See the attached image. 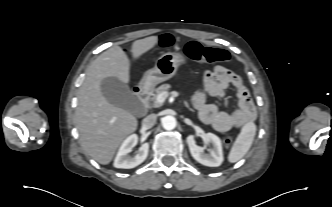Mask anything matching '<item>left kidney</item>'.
Segmentation results:
<instances>
[{
  "mask_svg": "<svg viewBox=\"0 0 332 207\" xmlns=\"http://www.w3.org/2000/svg\"><path fill=\"white\" fill-rule=\"evenodd\" d=\"M205 140L213 145L212 149L209 151V154H205L204 149L196 145L195 137L193 135H189L187 137V144L192 157L197 162L205 166H220L223 162V151L220 138L213 133H207L205 135Z\"/></svg>",
  "mask_w": 332,
  "mask_h": 207,
  "instance_id": "1",
  "label": "left kidney"
}]
</instances>
